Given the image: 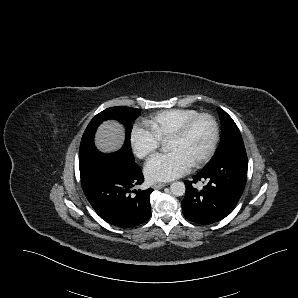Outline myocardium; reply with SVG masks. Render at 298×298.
<instances>
[{"mask_svg":"<svg viewBox=\"0 0 298 298\" xmlns=\"http://www.w3.org/2000/svg\"><path fill=\"white\" fill-rule=\"evenodd\" d=\"M201 119H206L209 123L210 133L207 145L204 151L197 156L189 165L190 168L197 166L202 161H204L211 153L215 139L217 134L216 124L213 118L208 114H198L195 117H192L188 120L180 123L174 130L166 135L164 138L163 144L165 147L174 139L180 137L183 133H185L191 126H193L196 122Z\"/></svg>","mask_w":298,"mask_h":298,"instance_id":"obj_1","label":"myocardium"}]
</instances>
